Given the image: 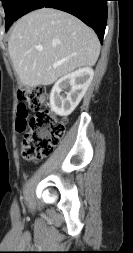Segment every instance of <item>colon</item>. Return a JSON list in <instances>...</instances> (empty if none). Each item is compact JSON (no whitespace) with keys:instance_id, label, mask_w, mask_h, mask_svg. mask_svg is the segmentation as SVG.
I'll use <instances>...</instances> for the list:
<instances>
[{"instance_id":"1","label":"colon","mask_w":133,"mask_h":253,"mask_svg":"<svg viewBox=\"0 0 133 253\" xmlns=\"http://www.w3.org/2000/svg\"><path fill=\"white\" fill-rule=\"evenodd\" d=\"M16 128L25 132L22 155L27 160L43 158L52 153L65 133V119L48 109V93L43 87L25 88L19 92ZM28 109L36 111L29 117Z\"/></svg>"}]
</instances>
